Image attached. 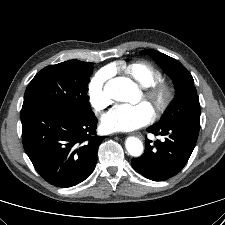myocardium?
Segmentation results:
<instances>
[{"mask_svg":"<svg viewBox=\"0 0 225 225\" xmlns=\"http://www.w3.org/2000/svg\"><path fill=\"white\" fill-rule=\"evenodd\" d=\"M143 89L144 99L154 107L158 117L162 116L168 110L175 97V89L163 81L143 87Z\"/></svg>","mask_w":225,"mask_h":225,"instance_id":"obj_1","label":"myocardium"}]
</instances>
